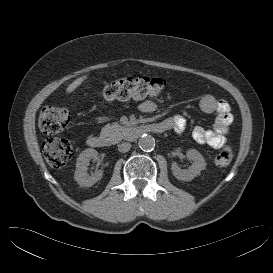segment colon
<instances>
[{
	"instance_id": "1",
	"label": "colon",
	"mask_w": 273,
	"mask_h": 273,
	"mask_svg": "<svg viewBox=\"0 0 273 273\" xmlns=\"http://www.w3.org/2000/svg\"><path fill=\"white\" fill-rule=\"evenodd\" d=\"M165 86V81L158 77L129 76L106 83L100 95L107 101H126L132 98H145L158 95ZM69 122V113L65 107L57 105L45 106L39 117V127L45 134L62 131ZM46 160L53 168H61L72 157L73 148L66 139L50 138L43 145ZM233 150L225 145L218 152L215 163L219 167L230 165Z\"/></svg>"
}]
</instances>
